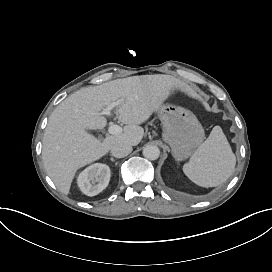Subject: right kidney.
<instances>
[{
  "label": "right kidney",
  "instance_id": "obj_1",
  "mask_svg": "<svg viewBox=\"0 0 272 272\" xmlns=\"http://www.w3.org/2000/svg\"><path fill=\"white\" fill-rule=\"evenodd\" d=\"M110 177L111 171L108 165L95 163L79 174L77 184L85 195L95 196L108 186Z\"/></svg>",
  "mask_w": 272,
  "mask_h": 272
}]
</instances>
